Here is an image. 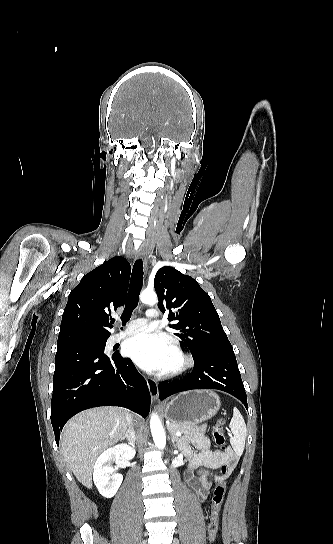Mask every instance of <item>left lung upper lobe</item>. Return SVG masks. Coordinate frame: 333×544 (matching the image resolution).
Wrapping results in <instances>:
<instances>
[{"label":"left lung upper lobe","mask_w":333,"mask_h":544,"mask_svg":"<svg viewBox=\"0 0 333 544\" xmlns=\"http://www.w3.org/2000/svg\"><path fill=\"white\" fill-rule=\"evenodd\" d=\"M154 287L159 309L168 310V320L176 321L169 327L179 331L175 335L193 358L213 351L234 353L210 296L195 279L165 266L157 271Z\"/></svg>","instance_id":"1"}]
</instances>
